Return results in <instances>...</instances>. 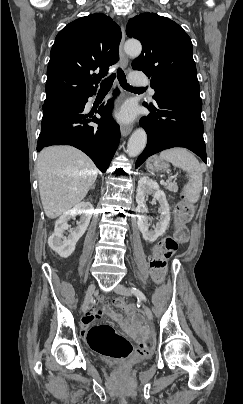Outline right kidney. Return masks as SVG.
Returning a JSON list of instances; mask_svg holds the SVG:
<instances>
[{
	"instance_id": "ca27d5eb",
	"label": "right kidney",
	"mask_w": 243,
	"mask_h": 404,
	"mask_svg": "<svg viewBox=\"0 0 243 404\" xmlns=\"http://www.w3.org/2000/svg\"><path fill=\"white\" fill-rule=\"evenodd\" d=\"M90 210L91 204L89 202H81V204H77L72 210L64 212L63 216H60L59 220H57L54 232L48 238V246L56 254H59L60 258H69L73 254L79 238L85 234L89 226L92 216ZM76 216H80V222H77L76 228L69 230L70 226H68V222L71 218H76ZM65 230H69L67 238L64 236Z\"/></svg>"
}]
</instances>
